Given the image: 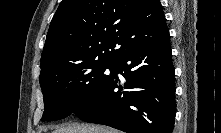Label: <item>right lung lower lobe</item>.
Wrapping results in <instances>:
<instances>
[{
  "label": "right lung lower lobe",
  "mask_w": 221,
  "mask_h": 133,
  "mask_svg": "<svg viewBox=\"0 0 221 133\" xmlns=\"http://www.w3.org/2000/svg\"><path fill=\"white\" fill-rule=\"evenodd\" d=\"M171 58L169 37L125 52L113 62L105 84L75 115L127 133H172L176 102ZM118 73L126 80L124 87Z\"/></svg>",
  "instance_id": "obj_1"
}]
</instances>
